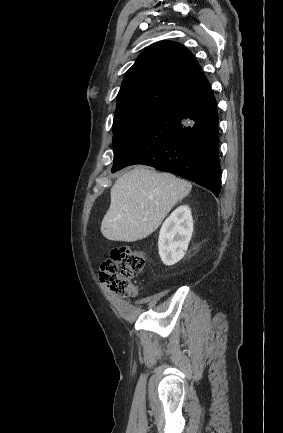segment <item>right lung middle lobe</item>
Instances as JSON below:
<instances>
[{
    "label": "right lung middle lobe",
    "instance_id": "dd1d6c3e",
    "mask_svg": "<svg viewBox=\"0 0 283 433\" xmlns=\"http://www.w3.org/2000/svg\"><path fill=\"white\" fill-rule=\"evenodd\" d=\"M162 111L144 107L116 109L113 120V149L116 157L129 142Z\"/></svg>",
    "mask_w": 283,
    "mask_h": 433
}]
</instances>
